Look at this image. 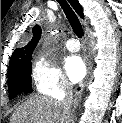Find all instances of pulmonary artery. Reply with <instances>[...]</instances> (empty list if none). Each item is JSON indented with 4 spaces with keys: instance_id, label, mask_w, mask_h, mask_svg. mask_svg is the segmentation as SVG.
Returning a JSON list of instances; mask_svg holds the SVG:
<instances>
[{
    "instance_id": "pulmonary-artery-1",
    "label": "pulmonary artery",
    "mask_w": 122,
    "mask_h": 123,
    "mask_svg": "<svg viewBox=\"0 0 122 123\" xmlns=\"http://www.w3.org/2000/svg\"><path fill=\"white\" fill-rule=\"evenodd\" d=\"M66 48L70 51V52H77L80 49V43L77 39L75 38H70L67 40L66 42Z\"/></svg>"
}]
</instances>
